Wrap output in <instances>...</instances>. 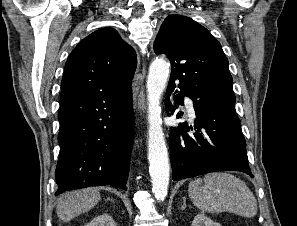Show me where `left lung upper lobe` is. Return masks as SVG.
Listing matches in <instances>:
<instances>
[{
	"mask_svg": "<svg viewBox=\"0 0 297 226\" xmlns=\"http://www.w3.org/2000/svg\"><path fill=\"white\" fill-rule=\"evenodd\" d=\"M156 54H166L172 71L169 81L201 100L235 101L232 76L220 43L189 17L169 15L154 42Z\"/></svg>",
	"mask_w": 297,
	"mask_h": 226,
	"instance_id": "5c2ea615",
	"label": "left lung upper lobe"
}]
</instances>
